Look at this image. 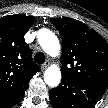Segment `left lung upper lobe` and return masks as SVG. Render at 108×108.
Returning <instances> with one entry per match:
<instances>
[{
    "label": "left lung upper lobe",
    "instance_id": "5c2ea615",
    "mask_svg": "<svg viewBox=\"0 0 108 108\" xmlns=\"http://www.w3.org/2000/svg\"><path fill=\"white\" fill-rule=\"evenodd\" d=\"M62 37V77L108 85V43L95 30L72 18H52Z\"/></svg>",
    "mask_w": 108,
    "mask_h": 108
}]
</instances>
